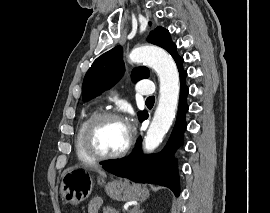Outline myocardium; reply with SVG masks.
Instances as JSON below:
<instances>
[{"label": "myocardium", "instance_id": "f54148a6", "mask_svg": "<svg viewBox=\"0 0 270 213\" xmlns=\"http://www.w3.org/2000/svg\"><path fill=\"white\" fill-rule=\"evenodd\" d=\"M107 120H119L123 121V118L116 112L104 111L95 114L91 120L88 122L84 135H83V145L85 151L95 160L106 161V160H115L124 157L130 151L133 145V136L129 132V138L126 146L119 152L113 154H103L99 152L94 144V137L99 126Z\"/></svg>", "mask_w": 270, "mask_h": 213}]
</instances>
